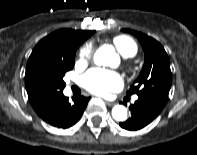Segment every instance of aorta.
Listing matches in <instances>:
<instances>
[{"label": "aorta", "mask_w": 197, "mask_h": 155, "mask_svg": "<svg viewBox=\"0 0 197 155\" xmlns=\"http://www.w3.org/2000/svg\"><path fill=\"white\" fill-rule=\"evenodd\" d=\"M117 58L113 47L104 45L100 47L94 54V62L97 65H109L110 62ZM128 111L123 105H115L112 109V117L116 121H125Z\"/></svg>", "instance_id": "obj_1"}]
</instances>
